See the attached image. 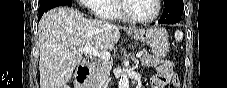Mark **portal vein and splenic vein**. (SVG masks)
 I'll return each mask as SVG.
<instances>
[{
	"label": "portal vein and splenic vein",
	"mask_w": 227,
	"mask_h": 88,
	"mask_svg": "<svg viewBox=\"0 0 227 88\" xmlns=\"http://www.w3.org/2000/svg\"><path fill=\"white\" fill-rule=\"evenodd\" d=\"M78 53H84V54H90V55H94V56H98L102 59H104L105 61H109L111 55L109 52L104 51V52H98L94 47L92 46H85V47H81L79 48L77 51ZM142 56V52H139L136 54L137 58H140Z\"/></svg>",
	"instance_id": "1"
}]
</instances>
